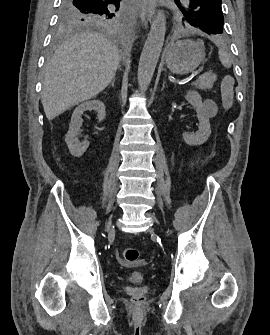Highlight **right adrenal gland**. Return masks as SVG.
Segmentation results:
<instances>
[{
	"instance_id": "obj_1",
	"label": "right adrenal gland",
	"mask_w": 270,
	"mask_h": 335,
	"mask_svg": "<svg viewBox=\"0 0 270 335\" xmlns=\"http://www.w3.org/2000/svg\"><path fill=\"white\" fill-rule=\"evenodd\" d=\"M114 82H115V76H114V78H112V82H110L112 88H114Z\"/></svg>"
}]
</instances>
